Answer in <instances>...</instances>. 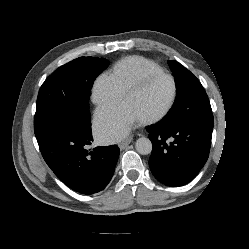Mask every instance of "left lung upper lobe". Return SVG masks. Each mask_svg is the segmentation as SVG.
Returning <instances> with one entry per match:
<instances>
[{"instance_id": "1", "label": "left lung upper lobe", "mask_w": 249, "mask_h": 249, "mask_svg": "<svg viewBox=\"0 0 249 249\" xmlns=\"http://www.w3.org/2000/svg\"><path fill=\"white\" fill-rule=\"evenodd\" d=\"M176 84V99L162 123L183 126L189 123L213 119L208 96L198 79L183 65L168 60Z\"/></svg>"}]
</instances>
